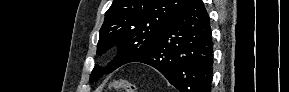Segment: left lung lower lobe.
Wrapping results in <instances>:
<instances>
[{"label": "left lung lower lobe", "instance_id": "obj_1", "mask_svg": "<svg viewBox=\"0 0 289 92\" xmlns=\"http://www.w3.org/2000/svg\"><path fill=\"white\" fill-rule=\"evenodd\" d=\"M213 43L201 0H189L153 46L131 62L160 71L180 92H211Z\"/></svg>", "mask_w": 289, "mask_h": 92}]
</instances>
